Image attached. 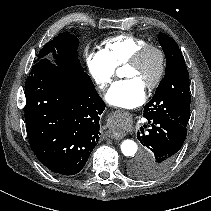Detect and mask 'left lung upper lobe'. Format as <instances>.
<instances>
[{
    "label": "left lung upper lobe",
    "mask_w": 211,
    "mask_h": 211,
    "mask_svg": "<svg viewBox=\"0 0 211 211\" xmlns=\"http://www.w3.org/2000/svg\"><path fill=\"white\" fill-rule=\"evenodd\" d=\"M159 43L166 56L165 76L152 99L144 106L143 116L146 119L171 118L186 127L190 116L191 96L184 57L177 43L168 35L159 33ZM130 170L138 176L135 169Z\"/></svg>",
    "instance_id": "left-lung-upper-lobe-1"
}]
</instances>
